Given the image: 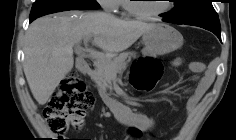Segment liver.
<instances>
[{
  "label": "liver",
  "mask_w": 236,
  "mask_h": 140,
  "mask_svg": "<svg viewBox=\"0 0 236 140\" xmlns=\"http://www.w3.org/2000/svg\"><path fill=\"white\" fill-rule=\"evenodd\" d=\"M155 25L104 12H66L36 19L25 35L23 64L34 98L40 105L47 103L73 68V46L82 39L93 37V44L112 58Z\"/></svg>",
  "instance_id": "liver-1"
}]
</instances>
